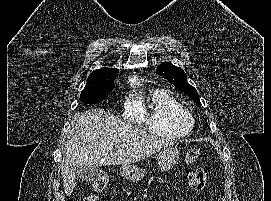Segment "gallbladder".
<instances>
[{"mask_svg": "<svg viewBox=\"0 0 271 201\" xmlns=\"http://www.w3.org/2000/svg\"><path fill=\"white\" fill-rule=\"evenodd\" d=\"M101 170L86 165H79L76 167V178L78 180L91 182L97 179Z\"/></svg>", "mask_w": 271, "mask_h": 201, "instance_id": "bac80fb5", "label": "gallbladder"}]
</instances>
